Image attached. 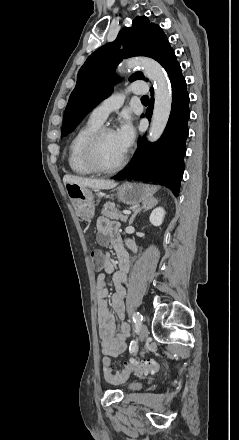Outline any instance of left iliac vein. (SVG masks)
<instances>
[{
  "mask_svg": "<svg viewBox=\"0 0 239 440\" xmlns=\"http://www.w3.org/2000/svg\"><path fill=\"white\" fill-rule=\"evenodd\" d=\"M148 336V328L145 324H142L140 326V330H139V338L141 341H144Z\"/></svg>",
  "mask_w": 239,
  "mask_h": 440,
  "instance_id": "obj_1",
  "label": "left iliac vein"
}]
</instances>
